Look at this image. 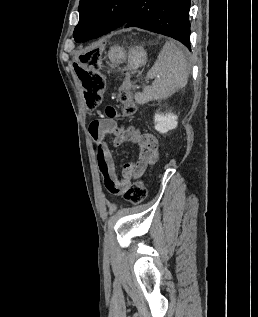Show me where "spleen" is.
<instances>
[{
    "label": "spleen",
    "instance_id": "spleen-1",
    "mask_svg": "<svg viewBox=\"0 0 258 317\" xmlns=\"http://www.w3.org/2000/svg\"><path fill=\"white\" fill-rule=\"evenodd\" d=\"M147 78H155L154 84L145 86L143 92H135V102L138 104L168 98L185 86L188 80V60L184 50L178 48L174 40L165 42L155 64L147 72Z\"/></svg>",
    "mask_w": 258,
    "mask_h": 317
}]
</instances>
